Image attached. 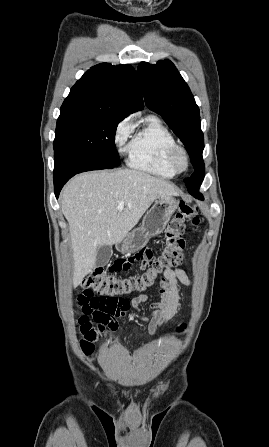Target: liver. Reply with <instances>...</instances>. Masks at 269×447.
<instances>
[{"label": "liver", "instance_id": "obj_1", "mask_svg": "<svg viewBox=\"0 0 269 447\" xmlns=\"http://www.w3.org/2000/svg\"><path fill=\"white\" fill-rule=\"evenodd\" d=\"M179 196L174 184L138 170H101L72 178L62 192L61 210L71 233L73 287L96 263L101 245L120 243L152 202ZM124 202V210H117Z\"/></svg>", "mask_w": 269, "mask_h": 447}]
</instances>
